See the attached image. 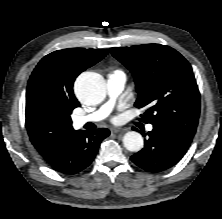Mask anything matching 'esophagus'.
Returning a JSON list of instances; mask_svg holds the SVG:
<instances>
[{
    "mask_svg": "<svg viewBox=\"0 0 222 219\" xmlns=\"http://www.w3.org/2000/svg\"><path fill=\"white\" fill-rule=\"evenodd\" d=\"M123 132H124V130H122V129H117V128L112 129L113 134H119V133H123Z\"/></svg>",
    "mask_w": 222,
    "mask_h": 219,
    "instance_id": "obj_1",
    "label": "esophagus"
}]
</instances>
